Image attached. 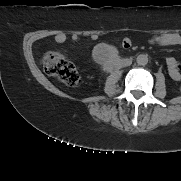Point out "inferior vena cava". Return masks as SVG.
Segmentation results:
<instances>
[{
  "label": "inferior vena cava",
  "mask_w": 181,
  "mask_h": 181,
  "mask_svg": "<svg viewBox=\"0 0 181 181\" xmlns=\"http://www.w3.org/2000/svg\"><path fill=\"white\" fill-rule=\"evenodd\" d=\"M132 64V61L130 59H123L121 61V67L130 66Z\"/></svg>",
  "instance_id": "1"
}]
</instances>
